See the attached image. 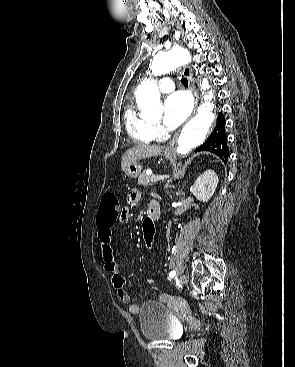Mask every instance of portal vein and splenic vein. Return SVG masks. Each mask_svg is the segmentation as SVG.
<instances>
[{
	"instance_id": "1",
	"label": "portal vein and splenic vein",
	"mask_w": 295,
	"mask_h": 367,
	"mask_svg": "<svg viewBox=\"0 0 295 367\" xmlns=\"http://www.w3.org/2000/svg\"><path fill=\"white\" fill-rule=\"evenodd\" d=\"M168 176H162V175H154L151 179L153 180V181H158V180H162V179H165V178H167Z\"/></svg>"
}]
</instances>
